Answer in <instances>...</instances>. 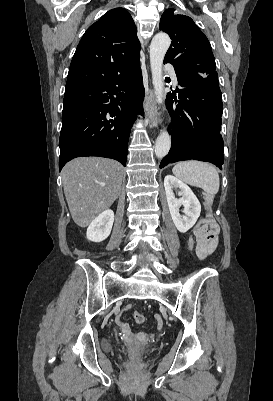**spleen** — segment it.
<instances>
[{
    "mask_svg": "<svg viewBox=\"0 0 273 401\" xmlns=\"http://www.w3.org/2000/svg\"><path fill=\"white\" fill-rule=\"evenodd\" d=\"M175 176L192 184V186H200L207 194H216L219 190V174L216 166L209 162H199V160H184L177 162L173 166Z\"/></svg>",
    "mask_w": 273,
    "mask_h": 401,
    "instance_id": "spleen-1",
    "label": "spleen"
}]
</instances>
